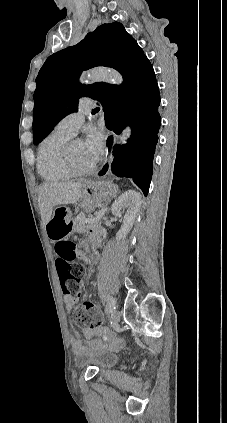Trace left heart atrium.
Instances as JSON below:
<instances>
[{"label":"left heart atrium","mask_w":227,"mask_h":423,"mask_svg":"<svg viewBox=\"0 0 227 423\" xmlns=\"http://www.w3.org/2000/svg\"><path fill=\"white\" fill-rule=\"evenodd\" d=\"M83 143L90 163L92 165L96 164L104 149V133L97 128H93L89 131L88 137Z\"/></svg>","instance_id":"1"}]
</instances>
